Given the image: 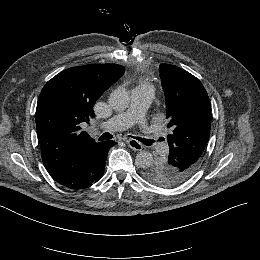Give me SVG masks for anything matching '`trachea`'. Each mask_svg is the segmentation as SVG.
I'll return each instance as SVG.
<instances>
[{
	"label": "trachea",
	"mask_w": 260,
	"mask_h": 260,
	"mask_svg": "<svg viewBox=\"0 0 260 260\" xmlns=\"http://www.w3.org/2000/svg\"><path fill=\"white\" fill-rule=\"evenodd\" d=\"M113 135L110 134L109 132H105L104 134H102L99 138V141H105V140H110L112 139ZM129 137L134 138L138 141H140L141 143H143L146 146H150L151 145V141L149 139H145V138H141V137H135V136H131L129 135Z\"/></svg>",
	"instance_id": "1"
}]
</instances>
